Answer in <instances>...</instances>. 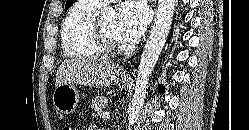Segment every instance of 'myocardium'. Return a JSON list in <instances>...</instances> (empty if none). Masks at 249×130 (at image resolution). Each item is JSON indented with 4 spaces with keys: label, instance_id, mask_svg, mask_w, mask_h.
Wrapping results in <instances>:
<instances>
[{
    "label": "myocardium",
    "instance_id": "myocardium-1",
    "mask_svg": "<svg viewBox=\"0 0 249 130\" xmlns=\"http://www.w3.org/2000/svg\"><path fill=\"white\" fill-rule=\"evenodd\" d=\"M94 37L97 45L104 54H118L123 50L119 42L114 40L105 32V30L101 26L100 21L97 19H95L94 22Z\"/></svg>",
    "mask_w": 249,
    "mask_h": 130
}]
</instances>
